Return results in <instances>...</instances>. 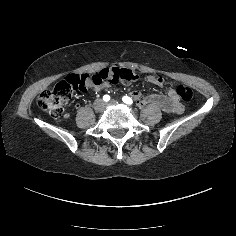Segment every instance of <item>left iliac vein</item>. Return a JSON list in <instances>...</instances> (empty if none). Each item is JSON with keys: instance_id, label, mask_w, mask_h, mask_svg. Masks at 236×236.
I'll use <instances>...</instances> for the list:
<instances>
[{"instance_id": "obj_1", "label": "left iliac vein", "mask_w": 236, "mask_h": 236, "mask_svg": "<svg viewBox=\"0 0 236 236\" xmlns=\"http://www.w3.org/2000/svg\"><path fill=\"white\" fill-rule=\"evenodd\" d=\"M117 104H119V101L117 100H112L108 103V105H117Z\"/></svg>"}]
</instances>
